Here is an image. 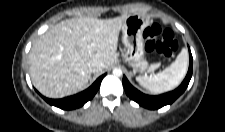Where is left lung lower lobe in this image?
Returning a JSON list of instances; mask_svg holds the SVG:
<instances>
[{
	"label": "left lung lower lobe",
	"instance_id": "0a47b994",
	"mask_svg": "<svg viewBox=\"0 0 225 132\" xmlns=\"http://www.w3.org/2000/svg\"><path fill=\"white\" fill-rule=\"evenodd\" d=\"M190 55V65L188 69V73L182 82V84L175 89L174 91L159 95V96H149L141 93L137 89H135L127 80L125 76H123V87L125 89L126 94L130 97V99L137 102L139 105L147 108V109H158L167 104L173 103L187 88L189 81L192 77V62L193 58L189 49Z\"/></svg>",
	"mask_w": 225,
	"mask_h": 132
}]
</instances>
